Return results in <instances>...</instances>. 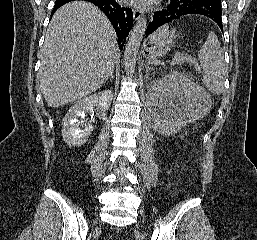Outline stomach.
<instances>
[{
    "mask_svg": "<svg viewBox=\"0 0 257 240\" xmlns=\"http://www.w3.org/2000/svg\"><path fill=\"white\" fill-rule=\"evenodd\" d=\"M175 38L174 32L160 31L157 36L151 37L146 45V51L151 58L163 56L173 45Z\"/></svg>",
    "mask_w": 257,
    "mask_h": 240,
    "instance_id": "obj_1",
    "label": "stomach"
}]
</instances>
